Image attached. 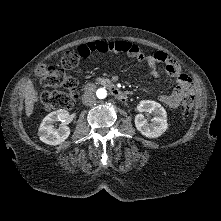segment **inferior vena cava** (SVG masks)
<instances>
[{"label": "inferior vena cava", "mask_w": 221, "mask_h": 221, "mask_svg": "<svg viewBox=\"0 0 221 221\" xmlns=\"http://www.w3.org/2000/svg\"><path fill=\"white\" fill-rule=\"evenodd\" d=\"M82 102L87 106L93 105L96 102V96L92 92H86L82 97Z\"/></svg>", "instance_id": "inferior-vena-cava-1"}]
</instances>
